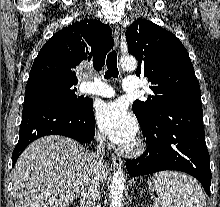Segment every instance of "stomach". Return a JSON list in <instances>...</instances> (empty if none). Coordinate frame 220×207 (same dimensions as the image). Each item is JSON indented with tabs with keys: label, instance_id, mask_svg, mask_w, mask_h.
I'll use <instances>...</instances> for the list:
<instances>
[{
	"label": "stomach",
	"instance_id": "stomach-1",
	"mask_svg": "<svg viewBox=\"0 0 220 207\" xmlns=\"http://www.w3.org/2000/svg\"><path fill=\"white\" fill-rule=\"evenodd\" d=\"M148 187H149V189H151V190H156L155 184H154V182H152V181H149V182H148Z\"/></svg>",
	"mask_w": 220,
	"mask_h": 207
}]
</instances>
